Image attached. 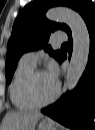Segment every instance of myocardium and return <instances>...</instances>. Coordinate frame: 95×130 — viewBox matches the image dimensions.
Returning a JSON list of instances; mask_svg holds the SVG:
<instances>
[{
    "instance_id": "obj_1",
    "label": "myocardium",
    "mask_w": 95,
    "mask_h": 130,
    "mask_svg": "<svg viewBox=\"0 0 95 130\" xmlns=\"http://www.w3.org/2000/svg\"><path fill=\"white\" fill-rule=\"evenodd\" d=\"M39 73H43V71L41 69H33V71L28 75L26 83H25V94L27 99L36 107H44L47 106L51 103H53L60 94V85L58 83H56V91L55 94L45 100V101H41L39 100L34 93V80L37 74Z\"/></svg>"
}]
</instances>
